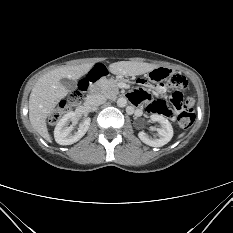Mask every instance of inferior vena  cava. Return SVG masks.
Listing matches in <instances>:
<instances>
[{
  "mask_svg": "<svg viewBox=\"0 0 233 233\" xmlns=\"http://www.w3.org/2000/svg\"><path fill=\"white\" fill-rule=\"evenodd\" d=\"M106 102V97L102 94H91L86 98V103L92 107L99 106Z\"/></svg>",
  "mask_w": 233,
  "mask_h": 233,
  "instance_id": "inferior-vena-cava-1",
  "label": "inferior vena cava"
}]
</instances>
